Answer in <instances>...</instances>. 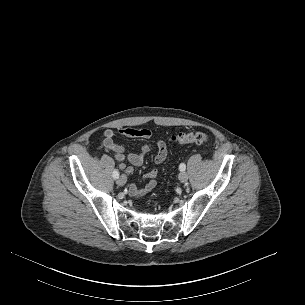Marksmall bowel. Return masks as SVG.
Here are the masks:
<instances>
[{
	"mask_svg": "<svg viewBox=\"0 0 305 305\" xmlns=\"http://www.w3.org/2000/svg\"><path fill=\"white\" fill-rule=\"evenodd\" d=\"M118 134L130 138L149 139L152 136V132L149 129H135V128H122L118 130ZM115 132L111 129H107L103 134V146L113 152L114 158L120 162V168L124 170L126 174L132 175L134 169L125 164V160H128L132 166L139 167L144 163L145 156L148 154L150 148L147 144H144L139 152H126L125 148L115 142ZM157 153L155 156V163L161 164L167 157V144L163 140L156 142ZM158 171L156 168H152L145 173V178L149 179V182L143 188H137L134 184L129 186V192L133 197L140 198L153 190L156 186L155 178Z\"/></svg>",
	"mask_w": 305,
	"mask_h": 305,
	"instance_id": "small-bowel-1",
	"label": "small bowel"
}]
</instances>
